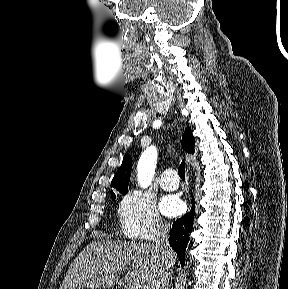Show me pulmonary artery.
<instances>
[{"instance_id": "obj_1", "label": "pulmonary artery", "mask_w": 288, "mask_h": 289, "mask_svg": "<svg viewBox=\"0 0 288 289\" xmlns=\"http://www.w3.org/2000/svg\"><path fill=\"white\" fill-rule=\"evenodd\" d=\"M160 186L166 191H174L179 186V180L173 169H167L160 178Z\"/></svg>"}]
</instances>
